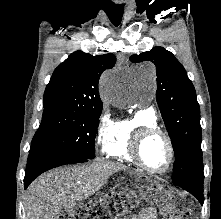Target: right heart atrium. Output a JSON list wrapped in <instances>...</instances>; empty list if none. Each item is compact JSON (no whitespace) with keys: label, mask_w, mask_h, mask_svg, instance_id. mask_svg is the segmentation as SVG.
Returning <instances> with one entry per match:
<instances>
[{"label":"right heart atrium","mask_w":221,"mask_h":219,"mask_svg":"<svg viewBox=\"0 0 221 219\" xmlns=\"http://www.w3.org/2000/svg\"><path fill=\"white\" fill-rule=\"evenodd\" d=\"M114 126V121L111 118V114L108 109H105L96 132V142L100 146L101 150L105 152L109 143L110 135Z\"/></svg>","instance_id":"right-heart-atrium-1"}]
</instances>
